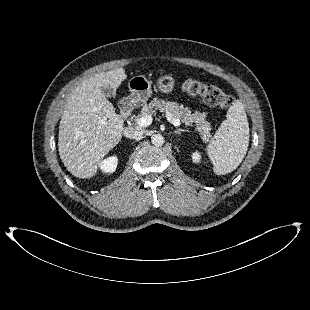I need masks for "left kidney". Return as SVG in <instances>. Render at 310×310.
I'll return each mask as SVG.
<instances>
[{
    "label": "left kidney",
    "mask_w": 310,
    "mask_h": 310,
    "mask_svg": "<svg viewBox=\"0 0 310 310\" xmlns=\"http://www.w3.org/2000/svg\"><path fill=\"white\" fill-rule=\"evenodd\" d=\"M200 159H201V155H200L198 152H194V153L192 154V160H193V162L199 163V162H200Z\"/></svg>",
    "instance_id": "left-kidney-1"
}]
</instances>
